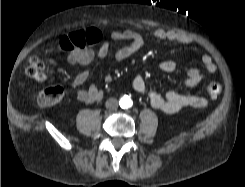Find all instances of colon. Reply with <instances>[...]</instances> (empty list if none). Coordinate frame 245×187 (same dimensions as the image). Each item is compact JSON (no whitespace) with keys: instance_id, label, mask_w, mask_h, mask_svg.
<instances>
[{"instance_id":"colon-1","label":"colon","mask_w":245,"mask_h":187,"mask_svg":"<svg viewBox=\"0 0 245 187\" xmlns=\"http://www.w3.org/2000/svg\"><path fill=\"white\" fill-rule=\"evenodd\" d=\"M86 30H80L63 36L58 44L62 51H75L86 48L91 43L87 40ZM26 74L38 82L48 78L49 67L36 57H30L24 64ZM222 85L216 82L207 84L206 92L211 97H217L222 92ZM65 91L62 86L51 85L45 87L39 94L38 102L43 107H51L59 103L64 97Z\"/></svg>"}]
</instances>
